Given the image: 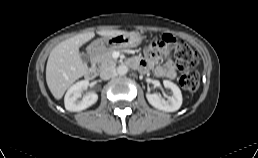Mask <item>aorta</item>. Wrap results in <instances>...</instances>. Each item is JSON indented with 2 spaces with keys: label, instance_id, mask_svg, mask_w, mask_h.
<instances>
[{
  "label": "aorta",
  "instance_id": "762f6f07",
  "mask_svg": "<svg viewBox=\"0 0 258 158\" xmlns=\"http://www.w3.org/2000/svg\"><path fill=\"white\" fill-rule=\"evenodd\" d=\"M128 72V67L126 65H120L118 68H117V73L119 75H125L127 74Z\"/></svg>",
  "mask_w": 258,
  "mask_h": 158
}]
</instances>
